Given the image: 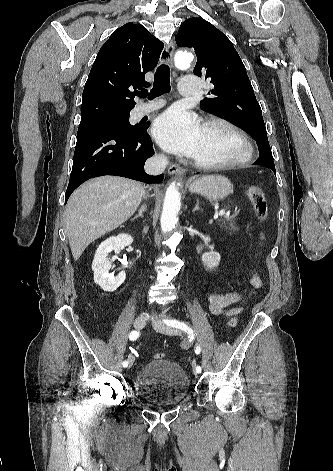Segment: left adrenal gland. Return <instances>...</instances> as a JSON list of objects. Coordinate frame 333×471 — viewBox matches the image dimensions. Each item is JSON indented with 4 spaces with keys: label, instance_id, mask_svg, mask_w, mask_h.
Here are the masks:
<instances>
[{
    "label": "left adrenal gland",
    "instance_id": "left-adrenal-gland-1",
    "mask_svg": "<svg viewBox=\"0 0 333 471\" xmlns=\"http://www.w3.org/2000/svg\"><path fill=\"white\" fill-rule=\"evenodd\" d=\"M196 201H197V202H196V205H195V207H194L193 210H192L193 212H195V211H197V210H201V208L199 207V199H197Z\"/></svg>",
    "mask_w": 333,
    "mask_h": 471
}]
</instances>
